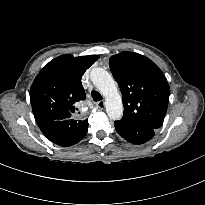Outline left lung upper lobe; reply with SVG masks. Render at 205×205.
Wrapping results in <instances>:
<instances>
[{"label":"left lung upper lobe","mask_w":205,"mask_h":205,"mask_svg":"<svg viewBox=\"0 0 205 205\" xmlns=\"http://www.w3.org/2000/svg\"><path fill=\"white\" fill-rule=\"evenodd\" d=\"M109 66L122 92V118L160 128L170 94L163 72L149 58L128 51L111 56Z\"/></svg>","instance_id":"5c2ea615"}]
</instances>
